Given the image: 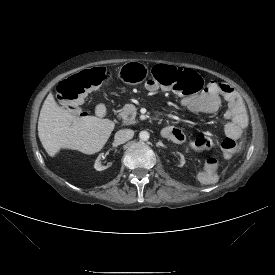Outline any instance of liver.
Segmentation results:
<instances>
[{
    "label": "liver",
    "instance_id": "1",
    "mask_svg": "<svg viewBox=\"0 0 275 275\" xmlns=\"http://www.w3.org/2000/svg\"><path fill=\"white\" fill-rule=\"evenodd\" d=\"M115 124L95 116L77 117L60 107L52 93L43 103L38 119V136L49 156L60 149L84 154L99 152L108 141Z\"/></svg>",
    "mask_w": 275,
    "mask_h": 275
}]
</instances>
